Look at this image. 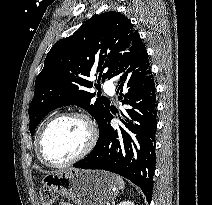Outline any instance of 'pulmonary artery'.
I'll return each mask as SVG.
<instances>
[{
    "label": "pulmonary artery",
    "instance_id": "e3ab8cb5",
    "mask_svg": "<svg viewBox=\"0 0 212 205\" xmlns=\"http://www.w3.org/2000/svg\"><path fill=\"white\" fill-rule=\"evenodd\" d=\"M103 88L105 92H107L109 95H114L115 93V87L114 84L111 81H106L103 85Z\"/></svg>",
    "mask_w": 212,
    "mask_h": 205
}]
</instances>
